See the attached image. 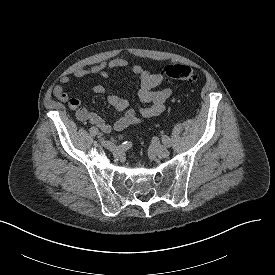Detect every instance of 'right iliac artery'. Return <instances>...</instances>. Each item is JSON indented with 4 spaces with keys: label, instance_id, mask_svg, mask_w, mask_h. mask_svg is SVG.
<instances>
[{
    "label": "right iliac artery",
    "instance_id": "obj_1",
    "mask_svg": "<svg viewBox=\"0 0 275 275\" xmlns=\"http://www.w3.org/2000/svg\"><path fill=\"white\" fill-rule=\"evenodd\" d=\"M90 134L92 135V136H96L97 134H98V132H99V130H98V128H96V127H91L90 128Z\"/></svg>",
    "mask_w": 275,
    "mask_h": 275
}]
</instances>
